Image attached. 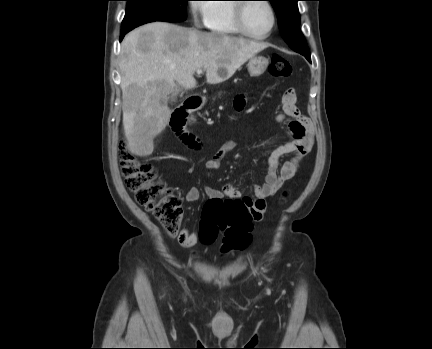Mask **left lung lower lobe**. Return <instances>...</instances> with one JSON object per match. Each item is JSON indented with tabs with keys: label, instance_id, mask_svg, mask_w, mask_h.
<instances>
[{
	"label": "left lung lower lobe",
	"instance_id": "left-lung-lower-lobe-1",
	"mask_svg": "<svg viewBox=\"0 0 432 349\" xmlns=\"http://www.w3.org/2000/svg\"><path fill=\"white\" fill-rule=\"evenodd\" d=\"M300 53V52H299ZM302 55L305 56V58L311 63V59H310V53H301Z\"/></svg>",
	"mask_w": 432,
	"mask_h": 349
}]
</instances>
